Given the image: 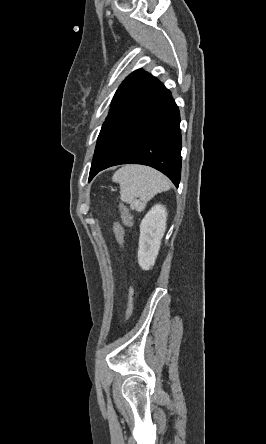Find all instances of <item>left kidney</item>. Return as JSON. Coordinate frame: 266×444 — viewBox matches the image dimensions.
Here are the masks:
<instances>
[{"label":"left kidney","instance_id":"obj_1","mask_svg":"<svg viewBox=\"0 0 266 444\" xmlns=\"http://www.w3.org/2000/svg\"><path fill=\"white\" fill-rule=\"evenodd\" d=\"M166 208L157 204L145 215L140 224L138 263L143 270L154 266L161 239L166 230Z\"/></svg>","mask_w":266,"mask_h":444}]
</instances>
